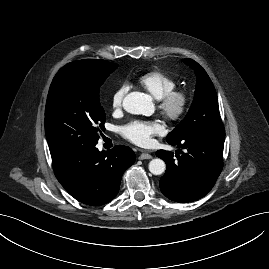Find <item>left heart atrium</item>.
Returning <instances> with one entry per match:
<instances>
[{
  "instance_id": "obj_1",
  "label": "left heart atrium",
  "mask_w": 269,
  "mask_h": 269,
  "mask_svg": "<svg viewBox=\"0 0 269 269\" xmlns=\"http://www.w3.org/2000/svg\"><path fill=\"white\" fill-rule=\"evenodd\" d=\"M162 131V127L155 121L134 120L120 129L121 134L127 140L138 144L146 145L150 142L153 135Z\"/></svg>"
}]
</instances>
